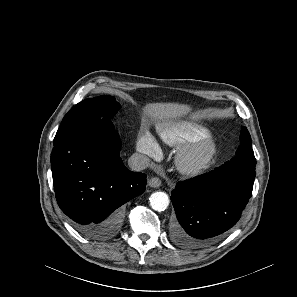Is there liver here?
Instances as JSON below:
<instances>
[{"mask_svg": "<svg viewBox=\"0 0 297 297\" xmlns=\"http://www.w3.org/2000/svg\"><path fill=\"white\" fill-rule=\"evenodd\" d=\"M191 108L178 103H150L144 108V115L155 121L176 119L186 115Z\"/></svg>", "mask_w": 297, "mask_h": 297, "instance_id": "liver-1", "label": "liver"}]
</instances>
